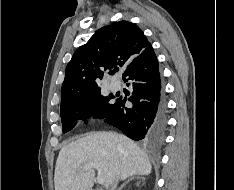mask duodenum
<instances>
[{
  "instance_id": "410a0bca",
  "label": "duodenum",
  "mask_w": 234,
  "mask_h": 190,
  "mask_svg": "<svg viewBox=\"0 0 234 190\" xmlns=\"http://www.w3.org/2000/svg\"><path fill=\"white\" fill-rule=\"evenodd\" d=\"M91 190H101V189H91Z\"/></svg>"
}]
</instances>
